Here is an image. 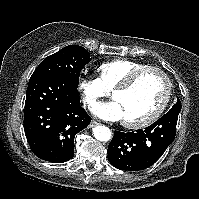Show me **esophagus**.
I'll return each instance as SVG.
<instances>
[{"label":"esophagus","instance_id":"34e87169","mask_svg":"<svg viewBox=\"0 0 199 199\" xmlns=\"http://www.w3.org/2000/svg\"><path fill=\"white\" fill-rule=\"evenodd\" d=\"M98 124H99V123H98L97 121L92 120L91 123H90V125H89V127L92 128V127H94V126H96V125H98Z\"/></svg>","mask_w":199,"mask_h":199}]
</instances>
